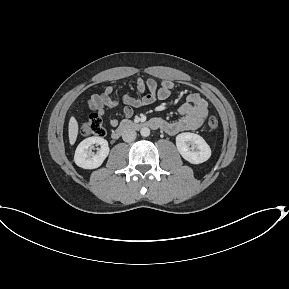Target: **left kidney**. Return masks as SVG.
<instances>
[{
    "label": "left kidney",
    "instance_id": "5707ae66",
    "mask_svg": "<svg viewBox=\"0 0 289 289\" xmlns=\"http://www.w3.org/2000/svg\"><path fill=\"white\" fill-rule=\"evenodd\" d=\"M176 147L181 156L192 164H200L211 156L206 141L197 134L185 132L176 136Z\"/></svg>",
    "mask_w": 289,
    "mask_h": 289
}]
</instances>
